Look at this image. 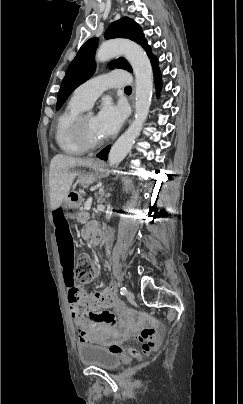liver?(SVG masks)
<instances>
[{
	"mask_svg": "<svg viewBox=\"0 0 243 404\" xmlns=\"http://www.w3.org/2000/svg\"><path fill=\"white\" fill-rule=\"evenodd\" d=\"M92 158H73L57 154L51 160L49 170L50 206L56 210L68 196L71 186L78 176L76 168L79 166H91Z\"/></svg>",
	"mask_w": 243,
	"mask_h": 404,
	"instance_id": "obj_1",
	"label": "liver"
}]
</instances>
